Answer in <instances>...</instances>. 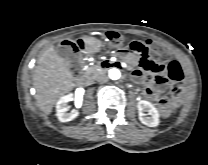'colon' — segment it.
Here are the masks:
<instances>
[{
	"instance_id": "1",
	"label": "colon",
	"mask_w": 208,
	"mask_h": 165,
	"mask_svg": "<svg viewBox=\"0 0 208 165\" xmlns=\"http://www.w3.org/2000/svg\"><path fill=\"white\" fill-rule=\"evenodd\" d=\"M106 41L112 47L123 48L122 51L127 50L136 53L140 57V66L146 72H152L160 68L166 60L167 52L164 48L151 42L141 43L138 41L127 42L117 32H107ZM78 50V45L72 41H65L61 45V53L63 55H71ZM181 92L180 86L173 87L174 95H179ZM176 107V100L173 97L165 96L159 101V110L163 115H167Z\"/></svg>"
}]
</instances>
